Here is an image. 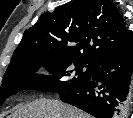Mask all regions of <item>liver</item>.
<instances>
[{
	"label": "liver",
	"mask_w": 133,
	"mask_h": 118,
	"mask_svg": "<svg viewBox=\"0 0 133 118\" xmlns=\"http://www.w3.org/2000/svg\"><path fill=\"white\" fill-rule=\"evenodd\" d=\"M9 118H91L80 109L59 100L42 98L16 107Z\"/></svg>",
	"instance_id": "6515ba94"
}]
</instances>
